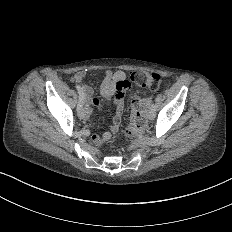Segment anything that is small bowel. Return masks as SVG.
<instances>
[{"label": "small bowel", "instance_id": "c3829d8e", "mask_svg": "<svg viewBox=\"0 0 232 232\" xmlns=\"http://www.w3.org/2000/svg\"><path fill=\"white\" fill-rule=\"evenodd\" d=\"M86 76V70L78 69L73 72L71 81L82 82ZM131 82L127 73L123 69H119L115 74L111 70H104L100 79V94L104 98H111L117 92L116 114L111 127L112 132H117L120 128L121 115L124 108L125 93L130 88ZM83 93L85 95V106L82 112V118L87 119L94 109L102 113L99 99L95 95V89L89 84L83 85ZM111 139L110 133H104L101 136L95 135L93 141L96 145H101Z\"/></svg>", "mask_w": 232, "mask_h": 232}]
</instances>
